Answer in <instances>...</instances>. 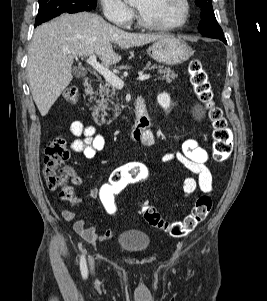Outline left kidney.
Returning a JSON list of instances; mask_svg holds the SVG:
<instances>
[{
  "instance_id": "5707ae66",
  "label": "left kidney",
  "mask_w": 267,
  "mask_h": 301,
  "mask_svg": "<svg viewBox=\"0 0 267 301\" xmlns=\"http://www.w3.org/2000/svg\"><path fill=\"white\" fill-rule=\"evenodd\" d=\"M157 101L159 105L167 110L170 107V96L167 93H161L157 96Z\"/></svg>"
}]
</instances>
